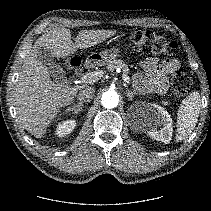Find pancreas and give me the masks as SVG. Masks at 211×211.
I'll return each instance as SVG.
<instances>
[{
    "label": "pancreas",
    "instance_id": "pancreas-1",
    "mask_svg": "<svg viewBox=\"0 0 211 211\" xmlns=\"http://www.w3.org/2000/svg\"><path fill=\"white\" fill-rule=\"evenodd\" d=\"M107 68L110 71L115 70L116 68H121L125 74L129 73L128 65L120 59H114L110 63H108Z\"/></svg>",
    "mask_w": 211,
    "mask_h": 211
}]
</instances>
